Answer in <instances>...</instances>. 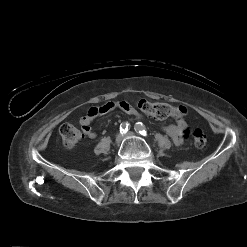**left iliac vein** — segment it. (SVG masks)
Wrapping results in <instances>:
<instances>
[{"label":"left iliac vein","instance_id":"obj_1","mask_svg":"<svg viewBox=\"0 0 247 247\" xmlns=\"http://www.w3.org/2000/svg\"><path fill=\"white\" fill-rule=\"evenodd\" d=\"M134 135H135L134 132L129 131V132H127L124 136H125V137H133Z\"/></svg>","mask_w":247,"mask_h":247}]
</instances>
